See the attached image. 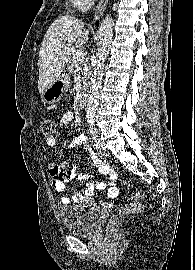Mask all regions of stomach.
<instances>
[{
  "mask_svg": "<svg viewBox=\"0 0 195 270\" xmlns=\"http://www.w3.org/2000/svg\"><path fill=\"white\" fill-rule=\"evenodd\" d=\"M68 86L69 78L62 74L41 94L42 101L48 104L59 101L66 93Z\"/></svg>",
  "mask_w": 195,
  "mask_h": 270,
  "instance_id": "1",
  "label": "stomach"
}]
</instances>
